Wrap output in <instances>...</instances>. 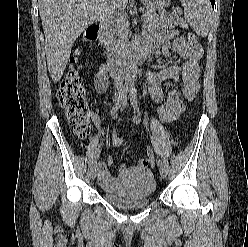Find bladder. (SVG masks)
I'll return each instance as SVG.
<instances>
[{
  "instance_id": "bladder-1",
  "label": "bladder",
  "mask_w": 248,
  "mask_h": 247,
  "mask_svg": "<svg viewBox=\"0 0 248 247\" xmlns=\"http://www.w3.org/2000/svg\"><path fill=\"white\" fill-rule=\"evenodd\" d=\"M116 192L104 191V199L120 208L146 206L156 190L154 174L147 168H130L119 178Z\"/></svg>"
}]
</instances>
